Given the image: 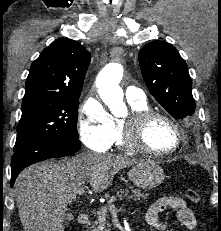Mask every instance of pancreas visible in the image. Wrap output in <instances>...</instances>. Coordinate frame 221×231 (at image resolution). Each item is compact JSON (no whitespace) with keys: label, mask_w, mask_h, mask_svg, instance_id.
<instances>
[{"label":"pancreas","mask_w":221,"mask_h":231,"mask_svg":"<svg viewBox=\"0 0 221 231\" xmlns=\"http://www.w3.org/2000/svg\"><path fill=\"white\" fill-rule=\"evenodd\" d=\"M133 194L132 195H127V192L124 190L118 191L117 194L121 198H126L127 200L134 199L135 201L140 200V198H147L148 194L142 193L140 190H132ZM116 201L115 197H112L106 205L102 206L99 208L97 211V217L98 219L95 221V226L91 227V231H109V229L106 228L109 227L110 225L106 222L107 216H108V211L110 210V207L113 202Z\"/></svg>","instance_id":"obj_1"}]
</instances>
